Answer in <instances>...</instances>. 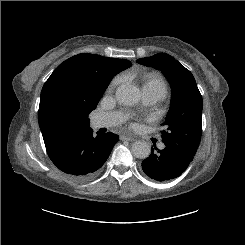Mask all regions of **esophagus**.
I'll list each match as a JSON object with an SVG mask.
<instances>
[{"label": "esophagus", "instance_id": "obj_1", "mask_svg": "<svg viewBox=\"0 0 245 245\" xmlns=\"http://www.w3.org/2000/svg\"><path fill=\"white\" fill-rule=\"evenodd\" d=\"M119 138L121 141H134V138L132 136H128V135H120Z\"/></svg>", "mask_w": 245, "mask_h": 245}]
</instances>
